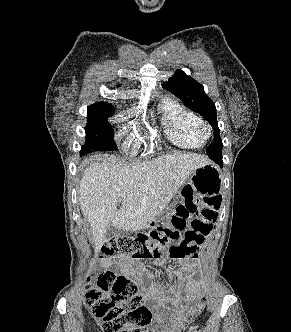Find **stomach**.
Instances as JSON below:
<instances>
[{
    "instance_id": "0dacf381",
    "label": "stomach",
    "mask_w": 291,
    "mask_h": 332,
    "mask_svg": "<svg viewBox=\"0 0 291 332\" xmlns=\"http://www.w3.org/2000/svg\"><path fill=\"white\" fill-rule=\"evenodd\" d=\"M188 184L192 187L193 191L199 196H216L221 190L222 176L220 170L208 164L196 169L189 177ZM176 201L174 205L178 204ZM169 213L164 212L157 216L154 220L148 223L147 228H154L158 224H164Z\"/></svg>"
}]
</instances>
